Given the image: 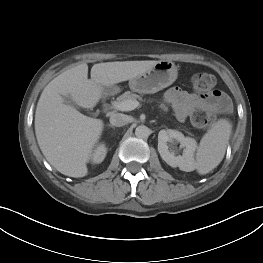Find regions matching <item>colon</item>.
<instances>
[{"instance_id":"obj_1","label":"colon","mask_w":263,"mask_h":263,"mask_svg":"<svg viewBox=\"0 0 263 263\" xmlns=\"http://www.w3.org/2000/svg\"><path fill=\"white\" fill-rule=\"evenodd\" d=\"M192 89L195 94L206 97L214 94L216 79L213 74L199 72L192 76ZM215 115L211 108H199L193 112L191 122L196 128L206 129L214 121Z\"/></svg>"}]
</instances>
